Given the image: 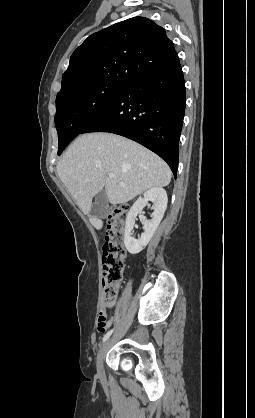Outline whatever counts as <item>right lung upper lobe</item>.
Wrapping results in <instances>:
<instances>
[{
	"mask_svg": "<svg viewBox=\"0 0 255 418\" xmlns=\"http://www.w3.org/2000/svg\"><path fill=\"white\" fill-rule=\"evenodd\" d=\"M178 60L162 27L144 17L130 18L92 34L73 52L57 95L101 81L129 84Z\"/></svg>",
	"mask_w": 255,
	"mask_h": 418,
	"instance_id": "1",
	"label": "right lung upper lobe"
}]
</instances>
